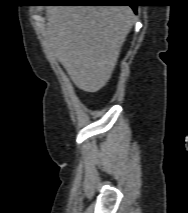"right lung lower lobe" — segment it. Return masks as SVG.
<instances>
[{
  "label": "right lung lower lobe",
  "instance_id": "1",
  "mask_svg": "<svg viewBox=\"0 0 188 213\" xmlns=\"http://www.w3.org/2000/svg\"><path fill=\"white\" fill-rule=\"evenodd\" d=\"M79 1V0H78ZM80 1H86V2H96V4L97 3H113V2H124V1H121V0H80ZM129 6H131L132 8H133V10H136V7H137V5H129Z\"/></svg>",
  "mask_w": 188,
  "mask_h": 213
}]
</instances>
